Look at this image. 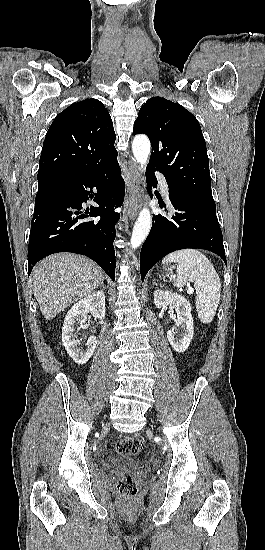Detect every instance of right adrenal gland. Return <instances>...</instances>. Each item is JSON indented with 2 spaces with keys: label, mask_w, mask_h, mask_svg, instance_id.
Here are the masks:
<instances>
[{
  "label": "right adrenal gland",
  "mask_w": 265,
  "mask_h": 550,
  "mask_svg": "<svg viewBox=\"0 0 265 550\" xmlns=\"http://www.w3.org/2000/svg\"><path fill=\"white\" fill-rule=\"evenodd\" d=\"M101 287H102L103 289H105V286H104V283H103V282L101 283Z\"/></svg>",
  "instance_id": "2a0ac1e0"
}]
</instances>
